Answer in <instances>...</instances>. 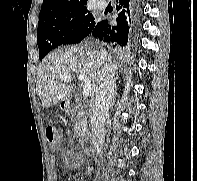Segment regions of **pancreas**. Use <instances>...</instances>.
<instances>
[{
  "instance_id": "1",
  "label": "pancreas",
  "mask_w": 197,
  "mask_h": 181,
  "mask_svg": "<svg viewBox=\"0 0 197 181\" xmlns=\"http://www.w3.org/2000/svg\"><path fill=\"white\" fill-rule=\"evenodd\" d=\"M74 133L75 136L88 139L89 130L87 128V116L85 112L80 111L74 119Z\"/></svg>"
}]
</instances>
